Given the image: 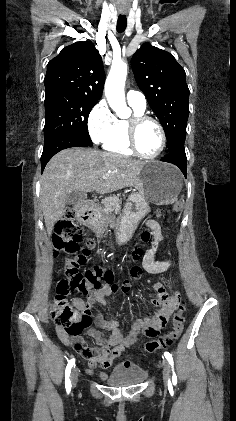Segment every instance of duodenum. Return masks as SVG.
I'll list each match as a JSON object with an SVG mask.
<instances>
[{
  "label": "duodenum",
  "instance_id": "duodenum-1",
  "mask_svg": "<svg viewBox=\"0 0 236 421\" xmlns=\"http://www.w3.org/2000/svg\"><path fill=\"white\" fill-rule=\"evenodd\" d=\"M77 217L80 223L87 225V226H93L95 225V218L94 214L96 211V203L95 201L91 199H85L81 201L77 205ZM160 301L163 303V310L162 313L158 316V319H161L162 316H165L168 314L169 309L171 307V301L166 297H161ZM156 323L151 322L150 326L155 327ZM109 330L111 331V336L106 340V343L111 346L115 344H120V349H123L124 346L128 345L132 339L123 337L117 327L115 325L109 324L108 325ZM148 329L152 331V329L147 324H142L136 328L133 329L132 336L135 337L140 332H147Z\"/></svg>",
  "mask_w": 236,
  "mask_h": 421
}]
</instances>
